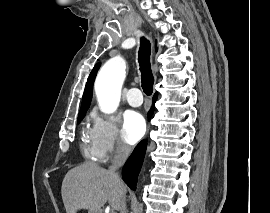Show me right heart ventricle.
<instances>
[{"label": "right heart ventricle", "mask_w": 270, "mask_h": 213, "mask_svg": "<svg viewBox=\"0 0 270 213\" xmlns=\"http://www.w3.org/2000/svg\"><path fill=\"white\" fill-rule=\"evenodd\" d=\"M80 148L83 156L90 161H100V155L95 143L94 125L86 123L81 132Z\"/></svg>", "instance_id": "obj_1"}]
</instances>
